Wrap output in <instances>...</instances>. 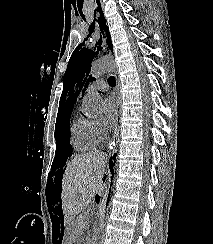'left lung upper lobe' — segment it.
<instances>
[{
	"label": "left lung upper lobe",
	"instance_id": "5c2ea615",
	"mask_svg": "<svg viewBox=\"0 0 213 244\" xmlns=\"http://www.w3.org/2000/svg\"><path fill=\"white\" fill-rule=\"evenodd\" d=\"M82 45H84V43L80 44L74 50L69 60L63 80L60 109L68 106L75 98H77L87 80V76L89 75L90 64L98 54V52L82 47ZM97 50H101V47H97ZM75 86L79 87V90L75 91Z\"/></svg>",
	"mask_w": 213,
	"mask_h": 244
}]
</instances>
